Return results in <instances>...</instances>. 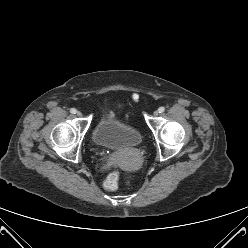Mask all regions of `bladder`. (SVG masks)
Instances as JSON below:
<instances>
[{
  "mask_svg": "<svg viewBox=\"0 0 248 248\" xmlns=\"http://www.w3.org/2000/svg\"><path fill=\"white\" fill-rule=\"evenodd\" d=\"M91 136L96 145L114 150L137 147L143 140L138 129L108 117L96 124Z\"/></svg>",
  "mask_w": 248,
  "mask_h": 248,
  "instance_id": "obj_1",
  "label": "bladder"
}]
</instances>
